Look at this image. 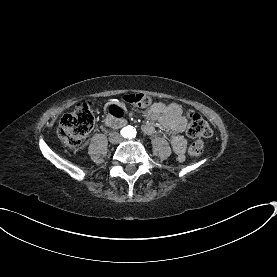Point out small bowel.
<instances>
[{
	"mask_svg": "<svg viewBox=\"0 0 277 277\" xmlns=\"http://www.w3.org/2000/svg\"><path fill=\"white\" fill-rule=\"evenodd\" d=\"M145 116L152 122H157L160 127L169 135L173 150L178 160L184 159L186 139L185 129L186 118L182 114L181 107L176 103L165 104L156 102L146 111ZM142 130L147 135L157 132L153 124H145Z\"/></svg>",
	"mask_w": 277,
	"mask_h": 277,
	"instance_id": "small-bowel-1",
	"label": "small bowel"
}]
</instances>
